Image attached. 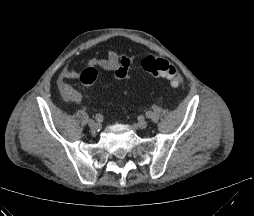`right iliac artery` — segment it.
<instances>
[{
	"label": "right iliac artery",
	"mask_w": 254,
	"mask_h": 216,
	"mask_svg": "<svg viewBox=\"0 0 254 216\" xmlns=\"http://www.w3.org/2000/svg\"><path fill=\"white\" fill-rule=\"evenodd\" d=\"M95 120L98 122V123H101L103 121V116L101 114H96L95 115Z\"/></svg>",
	"instance_id": "1"
}]
</instances>
